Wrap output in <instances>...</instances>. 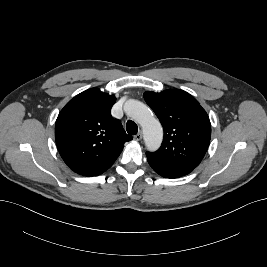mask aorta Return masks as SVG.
<instances>
[{"mask_svg":"<svg viewBox=\"0 0 267 267\" xmlns=\"http://www.w3.org/2000/svg\"><path fill=\"white\" fill-rule=\"evenodd\" d=\"M124 111L142 126L146 147L151 151L157 150L162 142L163 128L151 110L140 101L129 100Z\"/></svg>","mask_w":267,"mask_h":267,"instance_id":"obj_1","label":"aorta"}]
</instances>
